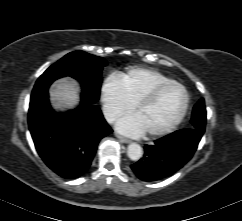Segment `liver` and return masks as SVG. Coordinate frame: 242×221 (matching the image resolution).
Instances as JSON below:
<instances>
[{"label":"liver","mask_w":242,"mask_h":221,"mask_svg":"<svg viewBox=\"0 0 242 221\" xmlns=\"http://www.w3.org/2000/svg\"><path fill=\"white\" fill-rule=\"evenodd\" d=\"M80 89L71 79H60L50 90L52 106L57 112L73 109L79 102Z\"/></svg>","instance_id":"1"}]
</instances>
